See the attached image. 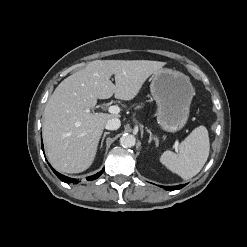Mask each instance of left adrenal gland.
Instances as JSON below:
<instances>
[{"label":"left adrenal gland","mask_w":247,"mask_h":247,"mask_svg":"<svg viewBox=\"0 0 247 247\" xmlns=\"http://www.w3.org/2000/svg\"><path fill=\"white\" fill-rule=\"evenodd\" d=\"M146 131L149 133V140H148V143L150 144V143L152 142V140H154L156 146H158V144H159V139H158V137L154 136V135L152 134V132L150 131V129H148L147 127H146Z\"/></svg>","instance_id":"left-adrenal-gland-1"}]
</instances>
